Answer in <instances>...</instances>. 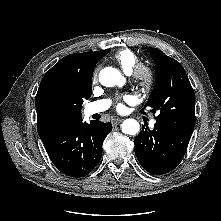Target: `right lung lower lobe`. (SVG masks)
<instances>
[{
	"label": "right lung lower lobe",
	"mask_w": 221,
	"mask_h": 221,
	"mask_svg": "<svg viewBox=\"0 0 221 221\" xmlns=\"http://www.w3.org/2000/svg\"><path fill=\"white\" fill-rule=\"evenodd\" d=\"M112 124L91 121L66 126L41 138L53 164L62 173L79 178L89 174L102 156V144Z\"/></svg>",
	"instance_id": "1"
}]
</instances>
